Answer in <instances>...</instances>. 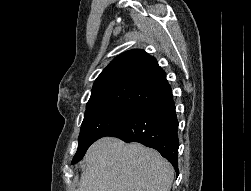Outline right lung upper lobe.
I'll use <instances>...</instances> for the list:
<instances>
[{
  "label": "right lung upper lobe",
  "mask_w": 251,
  "mask_h": 191,
  "mask_svg": "<svg viewBox=\"0 0 251 191\" xmlns=\"http://www.w3.org/2000/svg\"><path fill=\"white\" fill-rule=\"evenodd\" d=\"M171 89L156 59L134 49L120 54L94 82L86 109L110 103L143 108Z\"/></svg>",
  "instance_id": "cb5924a9"
}]
</instances>
